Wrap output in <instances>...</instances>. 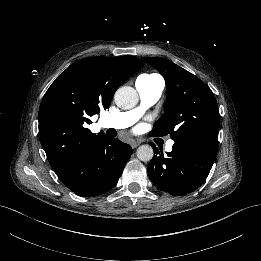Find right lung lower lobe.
<instances>
[{
  "label": "right lung lower lobe",
  "mask_w": 261,
  "mask_h": 261,
  "mask_svg": "<svg viewBox=\"0 0 261 261\" xmlns=\"http://www.w3.org/2000/svg\"><path fill=\"white\" fill-rule=\"evenodd\" d=\"M131 154L129 145L104 136L90 150L56 171L57 176L81 197L98 196L117 184Z\"/></svg>",
  "instance_id": "1"
}]
</instances>
